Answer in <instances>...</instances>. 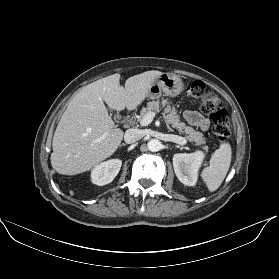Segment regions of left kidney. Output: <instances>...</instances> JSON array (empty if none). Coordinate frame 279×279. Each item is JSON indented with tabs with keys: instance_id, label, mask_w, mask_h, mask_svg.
I'll return each mask as SVG.
<instances>
[{
	"instance_id": "1",
	"label": "left kidney",
	"mask_w": 279,
	"mask_h": 279,
	"mask_svg": "<svg viewBox=\"0 0 279 279\" xmlns=\"http://www.w3.org/2000/svg\"><path fill=\"white\" fill-rule=\"evenodd\" d=\"M203 159L202 151L175 154L173 156V167L179 181L184 185L194 186L197 183L198 171Z\"/></svg>"
}]
</instances>
